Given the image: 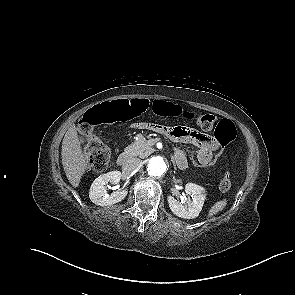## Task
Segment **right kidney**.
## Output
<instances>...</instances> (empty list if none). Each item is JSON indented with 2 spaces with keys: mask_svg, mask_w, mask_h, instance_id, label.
Here are the masks:
<instances>
[{
  "mask_svg": "<svg viewBox=\"0 0 295 295\" xmlns=\"http://www.w3.org/2000/svg\"><path fill=\"white\" fill-rule=\"evenodd\" d=\"M121 179L120 171H112L106 174L100 175L96 178L90 188L89 198L90 200L99 206H111L118 202H121L128 194V190H118L111 194L107 193L105 185L107 183L117 184Z\"/></svg>",
  "mask_w": 295,
  "mask_h": 295,
  "instance_id": "right-kidney-1",
  "label": "right kidney"
}]
</instances>
